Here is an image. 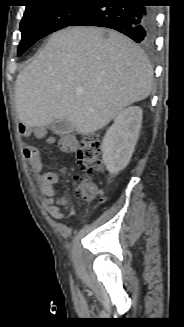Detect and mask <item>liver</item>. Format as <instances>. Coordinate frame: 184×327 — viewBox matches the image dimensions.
<instances>
[{"mask_svg":"<svg viewBox=\"0 0 184 327\" xmlns=\"http://www.w3.org/2000/svg\"><path fill=\"white\" fill-rule=\"evenodd\" d=\"M152 88L153 68L131 39L104 28L69 27L53 34L19 73L16 111L28 127L67 119L88 135Z\"/></svg>","mask_w":184,"mask_h":327,"instance_id":"1","label":"liver"}]
</instances>
